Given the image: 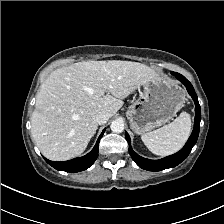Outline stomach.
I'll list each match as a JSON object with an SVG mask.
<instances>
[{
	"label": "stomach",
	"instance_id": "stomach-1",
	"mask_svg": "<svg viewBox=\"0 0 224 224\" xmlns=\"http://www.w3.org/2000/svg\"><path fill=\"white\" fill-rule=\"evenodd\" d=\"M185 92L174 81L156 76L143 84L140 97L128 107L131 129L145 134L169 122L183 107Z\"/></svg>",
	"mask_w": 224,
	"mask_h": 224
}]
</instances>
